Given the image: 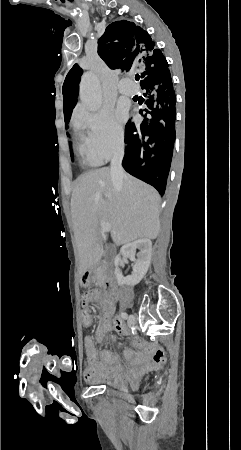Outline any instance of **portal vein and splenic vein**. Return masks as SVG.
<instances>
[{"instance_id":"obj_1","label":"portal vein and splenic vein","mask_w":241,"mask_h":450,"mask_svg":"<svg viewBox=\"0 0 241 450\" xmlns=\"http://www.w3.org/2000/svg\"><path fill=\"white\" fill-rule=\"evenodd\" d=\"M101 230H102V232H110L111 228H110L109 224H105V222H102Z\"/></svg>"}]
</instances>
